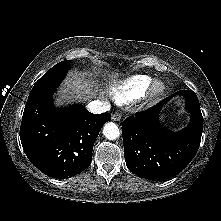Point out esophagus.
Listing matches in <instances>:
<instances>
[{"label": "esophagus", "mask_w": 221, "mask_h": 221, "mask_svg": "<svg viewBox=\"0 0 221 221\" xmlns=\"http://www.w3.org/2000/svg\"><path fill=\"white\" fill-rule=\"evenodd\" d=\"M121 118H122V114L119 113V112H115V113L112 115L113 121H120Z\"/></svg>", "instance_id": "esophagus-1"}]
</instances>
